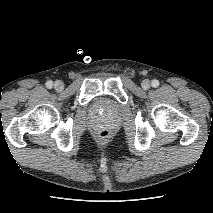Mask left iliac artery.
<instances>
[{
    "instance_id": "1",
    "label": "left iliac artery",
    "mask_w": 213,
    "mask_h": 213,
    "mask_svg": "<svg viewBox=\"0 0 213 213\" xmlns=\"http://www.w3.org/2000/svg\"><path fill=\"white\" fill-rule=\"evenodd\" d=\"M151 85H152V87L156 88V87H158V86H159V81H158V80H156V79H154V80H152Z\"/></svg>"
}]
</instances>
